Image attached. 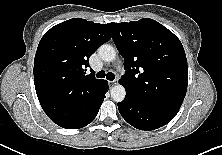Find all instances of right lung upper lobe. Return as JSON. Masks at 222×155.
<instances>
[{
	"mask_svg": "<svg viewBox=\"0 0 222 155\" xmlns=\"http://www.w3.org/2000/svg\"><path fill=\"white\" fill-rule=\"evenodd\" d=\"M110 38L109 24L82 18L67 20L48 30L34 59V83L40 104L60 109L93 92L104 80L96 79L94 74L86 75L89 57Z\"/></svg>",
	"mask_w": 222,
	"mask_h": 155,
	"instance_id": "right-lung-upper-lobe-1",
	"label": "right lung upper lobe"
}]
</instances>
